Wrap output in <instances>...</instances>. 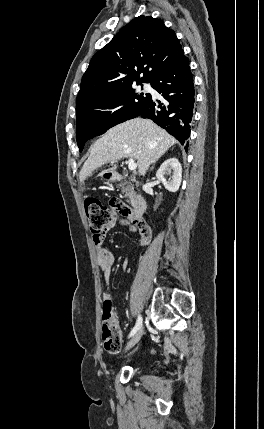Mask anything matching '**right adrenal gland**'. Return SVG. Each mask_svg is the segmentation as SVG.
Returning <instances> with one entry per match:
<instances>
[{
	"mask_svg": "<svg viewBox=\"0 0 264 429\" xmlns=\"http://www.w3.org/2000/svg\"><path fill=\"white\" fill-rule=\"evenodd\" d=\"M159 159H157V161H158ZM156 161V162H157ZM156 162H154V164H153V166L151 167V169L150 170H153V168H154V165L156 164Z\"/></svg>",
	"mask_w": 264,
	"mask_h": 429,
	"instance_id": "2a0ac1e0",
	"label": "right adrenal gland"
}]
</instances>
